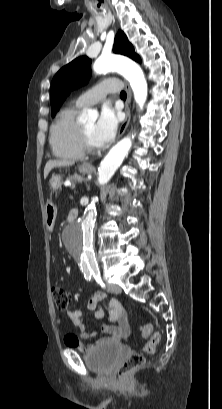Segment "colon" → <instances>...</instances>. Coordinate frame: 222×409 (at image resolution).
I'll return each instance as SVG.
<instances>
[{
    "instance_id": "obj_1",
    "label": "colon",
    "mask_w": 222,
    "mask_h": 409,
    "mask_svg": "<svg viewBox=\"0 0 222 409\" xmlns=\"http://www.w3.org/2000/svg\"><path fill=\"white\" fill-rule=\"evenodd\" d=\"M52 295L54 298V302L56 307L59 310H66L68 308L71 296L70 293L60 287H54L52 289ZM152 325L151 324H146L142 328V334L144 337H148L152 333ZM161 336L159 332H154L150 340L147 342V344L144 347V351L147 354H153L156 350V347L158 343L160 342ZM145 362V357L144 355L140 353H133L130 356H128L125 361L120 365L118 374H117V380L118 381H125L127 379V376L140 366H142Z\"/></svg>"
}]
</instances>
